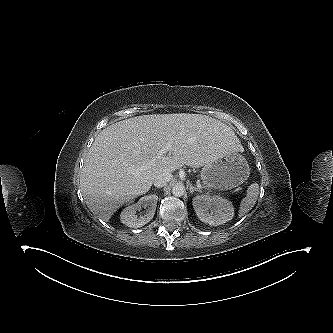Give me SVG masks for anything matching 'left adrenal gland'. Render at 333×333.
<instances>
[{
	"mask_svg": "<svg viewBox=\"0 0 333 333\" xmlns=\"http://www.w3.org/2000/svg\"><path fill=\"white\" fill-rule=\"evenodd\" d=\"M189 190H190V193L193 194L194 191H197L199 193H202V191L200 189H198L197 187L193 186L192 184H190L189 186Z\"/></svg>",
	"mask_w": 333,
	"mask_h": 333,
	"instance_id": "a2214340",
	"label": "left adrenal gland"
}]
</instances>
